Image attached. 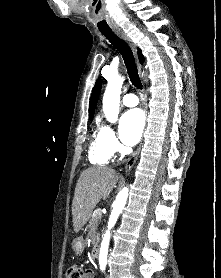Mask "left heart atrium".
<instances>
[{"label": "left heart atrium", "mask_w": 221, "mask_h": 278, "mask_svg": "<svg viewBox=\"0 0 221 278\" xmlns=\"http://www.w3.org/2000/svg\"><path fill=\"white\" fill-rule=\"evenodd\" d=\"M145 125L144 114L140 109L125 112L120 119V138L126 145H135L141 138Z\"/></svg>", "instance_id": "left-heart-atrium-1"}]
</instances>
